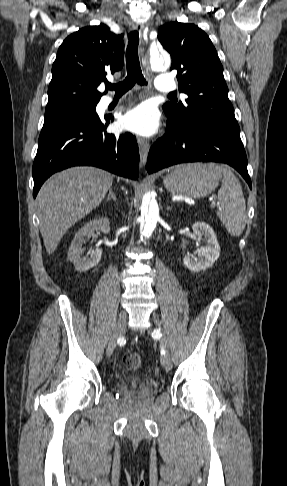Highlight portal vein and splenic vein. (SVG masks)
Wrapping results in <instances>:
<instances>
[{
    "instance_id": "obj_1",
    "label": "portal vein and splenic vein",
    "mask_w": 287,
    "mask_h": 486,
    "mask_svg": "<svg viewBox=\"0 0 287 486\" xmlns=\"http://www.w3.org/2000/svg\"><path fill=\"white\" fill-rule=\"evenodd\" d=\"M212 205H215V202L214 201H212Z\"/></svg>"
}]
</instances>
